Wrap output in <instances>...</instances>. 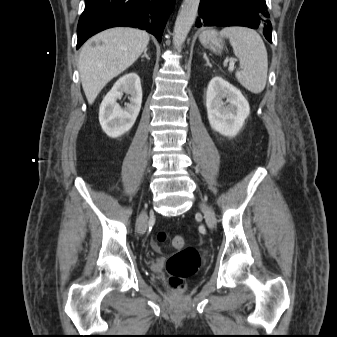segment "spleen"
Wrapping results in <instances>:
<instances>
[{
    "mask_svg": "<svg viewBox=\"0 0 337 337\" xmlns=\"http://www.w3.org/2000/svg\"><path fill=\"white\" fill-rule=\"evenodd\" d=\"M222 37L229 38L241 71L235 76L239 83L254 94L261 93L267 81L268 56L260 35L247 27H225L220 31Z\"/></svg>",
    "mask_w": 337,
    "mask_h": 337,
    "instance_id": "3e777b00",
    "label": "spleen"
}]
</instances>
